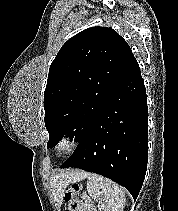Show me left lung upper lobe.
Returning a JSON list of instances; mask_svg holds the SVG:
<instances>
[{
  "instance_id": "1",
  "label": "left lung upper lobe",
  "mask_w": 178,
  "mask_h": 211,
  "mask_svg": "<svg viewBox=\"0 0 178 211\" xmlns=\"http://www.w3.org/2000/svg\"><path fill=\"white\" fill-rule=\"evenodd\" d=\"M133 57L125 40L107 27L85 29L62 46L44 92L48 148L64 135L79 143L86 137Z\"/></svg>"
}]
</instances>
